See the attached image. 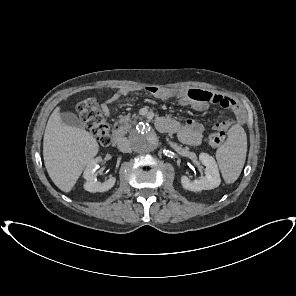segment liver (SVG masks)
<instances>
[{"label":"liver","mask_w":296,"mask_h":296,"mask_svg":"<svg viewBox=\"0 0 296 296\" xmlns=\"http://www.w3.org/2000/svg\"><path fill=\"white\" fill-rule=\"evenodd\" d=\"M98 151L95 137L84 129L64 124L60 107H56L47 122L43 140L44 164L54 184L70 192Z\"/></svg>","instance_id":"6515ba94"}]
</instances>
